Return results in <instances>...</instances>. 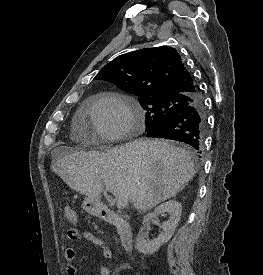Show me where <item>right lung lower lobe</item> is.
<instances>
[{"label":"right lung lower lobe","instance_id":"obj_1","mask_svg":"<svg viewBox=\"0 0 263 275\" xmlns=\"http://www.w3.org/2000/svg\"><path fill=\"white\" fill-rule=\"evenodd\" d=\"M206 121L204 102L198 93L193 96L192 104L147 131V136L183 142L201 153L204 148Z\"/></svg>","mask_w":263,"mask_h":275}]
</instances>
